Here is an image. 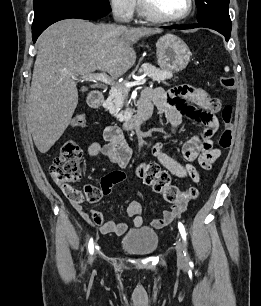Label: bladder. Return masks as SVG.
I'll list each match as a JSON object with an SVG mask.
<instances>
[{"label": "bladder", "mask_w": 261, "mask_h": 306, "mask_svg": "<svg viewBox=\"0 0 261 306\" xmlns=\"http://www.w3.org/2000/svg\"><path fill=\"white\" fill-rule=\"evenodd\" d=\"M159 244L157 233L148 227L131 229L120 241L121 248L132 255L146 256L156 251Z\"/></svg>", "instance_id": "1"}]
</instances>
